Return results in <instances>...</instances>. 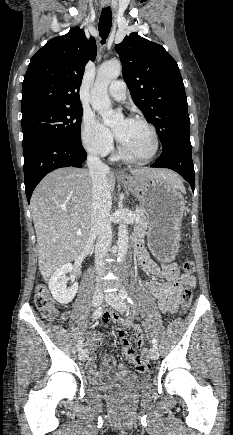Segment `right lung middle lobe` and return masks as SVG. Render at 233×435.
I'll use <instances>...</instances> for the list:
<instances>
[{
    "label": "right lung middle lobe",
    "instance_id": "obj_1",
    "mask_svg": "<svg viewBox=\"0 0 233 435\" xmlns=\"http://www.w3.org/2000/svg\"><path fill=\"white\" fill-rule=\"evenodd\" d=\"M80 107H53L40 109L22 116L23 146L55 139L71 144L81 143Z\"/></svg>",
    "mask_w": 233,
    "mask_h": 435
}]
</instances>
